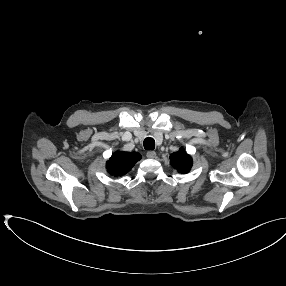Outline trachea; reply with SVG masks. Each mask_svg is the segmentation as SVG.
<instances>
[{"label": "trachea", "mask_w": 286, "mask_h": 286, "mask_svg": "<svg viewBox=\"0 0 286 286\" xmlns=\"http://www.w3.org/2000/svg\"><path fill=\"white\" fill-rule=\"evenodd\" d=\"M143 145L146 150H154L155 140L151 137H147L144 139Z\"/></svg>", "instance_id": "obj_1"}]
</instances>
